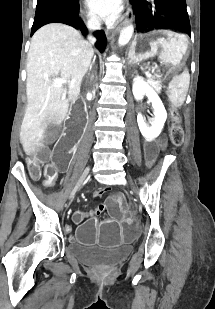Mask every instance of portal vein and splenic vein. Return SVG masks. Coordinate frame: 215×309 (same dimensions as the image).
<instances>
[{
	"label": "portal vein and splenic vein",
	"mask_w": 215,
	"mask_h": 309,
	"mask_svg": "<svg viewBox=\"0 0 215 309\" xmlns=\"http://www.w3.org/2000/svg\"><path fill=\"white\" fill-rule=\"evenodd\" d=\"M145 74H148V72H145ZM51 82H53L52 86H63L67 80H64V78H52Z\"/></svg>",
	"instance_id": "18ae733b"
}]
</instances>
